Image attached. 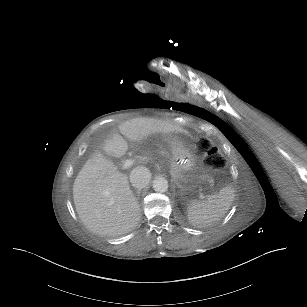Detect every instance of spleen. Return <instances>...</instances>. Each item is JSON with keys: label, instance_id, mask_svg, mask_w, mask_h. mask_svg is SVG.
<instances>
[{"label": "spleen", "instance_id": "3e777b00", "mask_svg": "<svg viewBox=\"0 0 307 307\" xmlns=\"http://www.w3.org/2000/svg\"><path fill=\"white\" fill-rule=\"evenodd\" d=\"M233 200L232 187H223L210 199L193 204L189 209V219L198 227L211 226L226 214Z\"/></svg>", "mask_w": 307, "mask_h": 307}]
</instances>
